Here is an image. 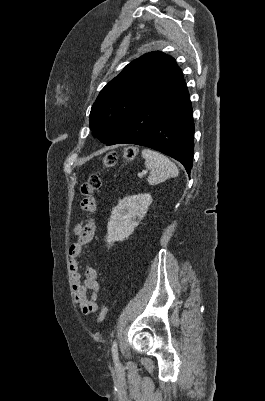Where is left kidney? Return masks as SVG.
I'll return each mask as SVG.
<instances>
[{"label": "left kidney", "instance_id": "1", "mask_svg": "<svg viewBox=\"0 0 265 401\" xmlns=\"http://www.w3.org/2000/svg\"><path fill=\"white\" fill-rule=\"evenodd\" d=\"M152 201L153 198L149 192H140V194L121 198L117 207H114L108 223V237L105 239L108 245L128 239L145 217Z\"/></svg>", "mask_w": 265, "mask_h": 401}]
</instances>
